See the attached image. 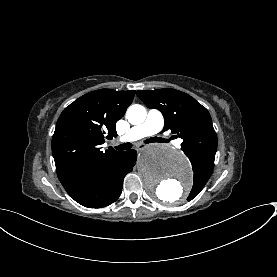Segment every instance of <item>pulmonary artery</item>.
<instances>
[{"mask_svg":"<svg viewBox=\"0 0 277 277\" xmlns=\"http://www.w3.org/2000/svg\"><path fill=\"white\" fill-rule=\"evenodd\" d=\"M147 118L148 120L145 124L133 126L130 132L124 135V142L130 143L132 140L141 138L144 135L149 136L152 133H159L163 130L165 119L158 107H151L147 111Z\"/></svg>","mask_w":277,"mask_h":277,"instance_id":"e3ab8cb5","label":"pulmonary artery"}]
</instances>
